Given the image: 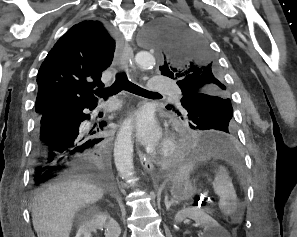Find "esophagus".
Instances as JSON below:
<instances>
[{
    "label": "esophagus",
    "mask_w": 297,
    "mask_h": 237,
    "mask_svg": "<svg viewBox=\"0 0 297 237\" xmlns=\"http://www.w3.org/2000/svg\"><path fill=\"white\" fill-rule=\"evenodd\" d=\"M133 50L130 47V45L128 43L125 44L122 55H121V59H120V64L121 67L123 69H128L129 67L132 66L133 64ZM140 156V161L141 164L143 166V168L147 171V172H151L153 170V162L152 159L148 156H146L143 152L140 151L139 153Z\"/></svg>",
    "instance_id": "esophagus-1"
}]
</instances>
